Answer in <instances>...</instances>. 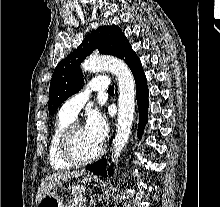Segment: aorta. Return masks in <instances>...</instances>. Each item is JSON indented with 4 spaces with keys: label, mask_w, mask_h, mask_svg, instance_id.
Segmentation results:
<instances>
[{
    "label": "aorta",
    "mask_w": 220,
    "mask_h": 207,
    "mask_svg": "<svg viewBox=\"0 0 220 207\" xmlns=\"http://www.w3.org/2000/svg\"><path fill=\"white\" fill-rule=\"evenodd\" d=\"M83 71L96 72L108 70L118 80V119L113 144V161L118 159L125 149L132 129L135 109V81L128 66L113 56L90 57L82 63Z\"/></svg>",
    "instance_id": "1"
}]
</instances>
